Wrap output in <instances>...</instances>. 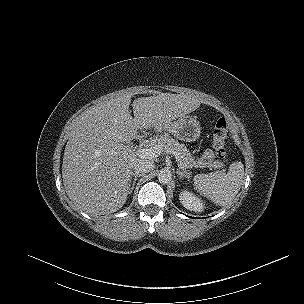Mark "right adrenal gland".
I'll return each mask as SVG.
<instances>
[{
	"instance_id": "2a0ac1e0",
	"label": "right adrenal gland",
	"mask_w": 304,
	"mask_h": 304,
	"mask_svg": "<svg viewBox=\"0 0 304 304\" xmlns=\"http://www.w3.org/2000/svg\"><path fill=\"white\" fill-rule=\"evenodd\" d=\"M142 175L141 174H137V173H132L131 176H130V179H129V184H128V193L131 194L134 187H135V184H136V181L139 177H141Z\"/></svg>"
}]
</instances>
